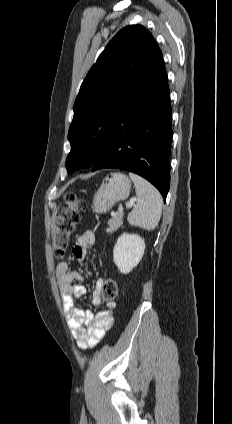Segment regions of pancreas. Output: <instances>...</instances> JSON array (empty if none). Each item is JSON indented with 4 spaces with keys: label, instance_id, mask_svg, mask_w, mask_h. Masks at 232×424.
<instances>
[{
    "label": "pancreas",
    "instance_id": "obj_1",
    "mask_svg": "<svg viewBox=\"0 0 232 424\" xmlns=\"http://www.w3.org/2000/svg\"><path fill=\"white\" fill-rule=\"evenodd\" d=\"M123 224V213L117 212L115 215L112 216L111 219L108 221V226L111 230V232L116 231L119 227H121Z\"/></svg>",
    "mask_w": 232,
    "mask_h": 424
}]
</instances>
